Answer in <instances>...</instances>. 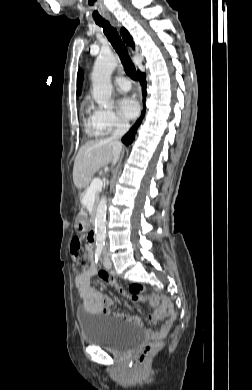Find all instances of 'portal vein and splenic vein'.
<instances>
[{
	"mask_svg": "<svg viewBox=\"0 0 252 390\" xmlns=\"http://www.w3.org/2000/svg\"><path fill=\"white\" fill-rule=\"evenodd\" d=\"M101 188H102V180L99 178L94 179L86 192V195L83 199V203L86 205L91 204L93 202L96 192L99 191Z\"/></svg>",
	"mask_w": 252,
	"mask_h": 390,
	"instance_id": "portal-vein-and-splenic-vein-1",
	"label": "portal vein and splenic vein"
}]
</instances>
